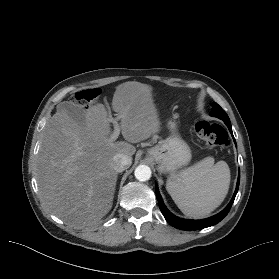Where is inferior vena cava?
Masks as SVG:
<instances>
[{"label": "inferior vena cava", "mask_w": 279, "mask_h": 279, "mask_svg": "<svg viewBox=\"0 0 279 279\" xmlns=\"http://www.w3.org/2000/svg\"><path fill=\"white\" fill-rule=\"evenodd\" d=\"M132 163V158L123 153H118L113 156L112 166L116 172H122L127 169Z\"/></svg>", "instance_id": "602c4592"}]
</instances>
